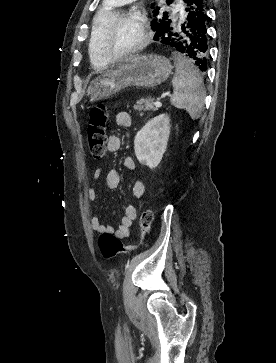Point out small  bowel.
Listing matches in <instances>:
<instances>
[{
	"instance_id": "1",
	"label": "small bowel",
	"mask_w": 276,
	"mask_h": 363,
	"mask_svg": "<svg viewBox=\"0 0 276 363\" xmlns=\"http://www.w3.org/2000/svg\"><path fill=\"white\" fill-rule=\"evenodd\" d=\"M116 123L123 127H128L132 123V117L128 112L122 111L116 114ZM121 147V138L116 134H111L107 138V149L110 152H116ZM124 167L129 171L136 170V163L131 157L124 159ZM102 169L97 168L94 172V180H98L101 176ZM105 182L108 188L116 189L120 184V176L114 169L109 170L105 176ZM144 184L140 180H136L132 187V193L137 199H141L144 195ZM87 197L90 202L96 201L97 195L93 187L88 188ZM138 216V209L134 205H128L125 208L124 215L121 218L119 226L115 229L110 226H106L100 222L99 217L94 214L91 219V229L95 233H111L118 238H127L130 235L131 227L134 220Z\"/></svg>"
}]
</instances>
